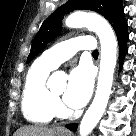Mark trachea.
<instances>
[{
  "label": "trachea",
  "instance_id": "obj_1",
  "mask_svg": "<svg viewBox=\"0 0 136 136\" xmlns=\"http://www.w3.org/2000/svg\"><path fill=\"white\" fill-rule=\"evenodd\" d=\"M93 56H98V51L97 50H94L93 53H92Z\"/></svg>",
  "mask_w": 136,
  "mask_h": 136
}]
</instances>
